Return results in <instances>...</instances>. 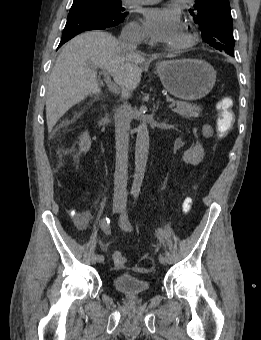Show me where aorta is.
Returning <instances> with one entry per match:
<instances>
[{"instance_id": "762f6f07", "label": "aorta", "mask_w": 261, "mask_h": 340, "mask_svg": "<svg viewBox=\"0 0 261 340\" xmlns=\"http://www.w3.org/2000/svg\"><path fill=\"white\" fill-rule=\"evenodd\" d=\"M149 152V131L145 121L137 127L136 148H135V173L131 187V193L138 195L144 179L146 164Z\"/></svg>"}]
</instances>
